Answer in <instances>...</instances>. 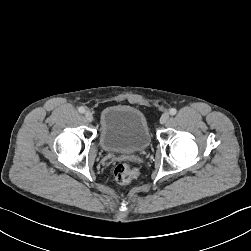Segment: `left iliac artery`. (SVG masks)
Segmentation results:
<instances>
[{
  "instance_id": "44dca946",
  "label": "left iliac artery",
  "mask_w": 251,
  "mask_h": 251,
  "mask_svg": "<svg viewBox=\"0 0 251 251\" xmlns=\"http://www.w3.org/2000/svg\"><path fill=\"white\" fill-rule=\"evenodd\" d=\"M169 113L170 115H175L177 113V110L175 108H171Z\"/></svg>"
}]
</instances>
